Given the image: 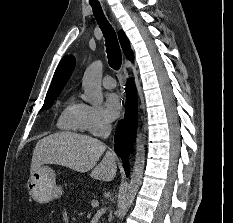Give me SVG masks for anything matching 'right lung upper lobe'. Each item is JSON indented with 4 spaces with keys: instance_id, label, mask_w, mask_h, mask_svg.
Wrapping results in <instances>:
<instances>
[{
    "instance_id": "right-lung-upper-lobe-1",
    "label": "right lung upper lobe",
    "mask_w": 233,
    "mask_h": 223,
    "mask_svg": "<svg viewBox=\"0 0 233 223\" xmlns=\"http://www.w3.org/2000/svg\"><path fill=\"white\" fill-rule=\"evenodd\" d=\"M118 36L124 53L126 54L128 59L132 61L133 53L130 49V45L125 33L122 30H120ZM74 65H75V58L73 56L67 55L62 58L57 70L55 71L51 86L47 92L44 106L53 103V101L60 94V92L62 91L64 85L66 84L67 80L69 79L73 71Z\"/></svg>"
}]
</instances>
